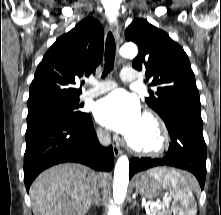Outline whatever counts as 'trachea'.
Masks as SVG:
<instances>
[{
  "mask_svg": "<svg viewBox=\"0 0 221 215\" xmlns=\"http://www.w3.org/2000/svg\"><path fill=\"white\" fill-rule=\"evenodd\" d=\"M115 40L111 32L108 33L105 43V66L103 71V77H105L114 67L115 59Z\"/></svg>",
  "mask_w": 221,
  "mask_h": 215,
  "instance_id": "obj_1",
  "label": "trachea"
}]
</instances>
